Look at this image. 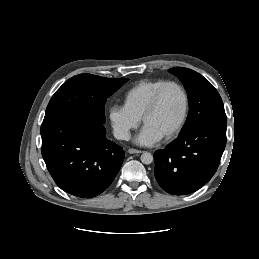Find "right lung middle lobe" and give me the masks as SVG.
Returning <instances> with one entry per match:
<instances>
[{
	"mask_svg": "<svg viewBox=\"0 0 259 259\" xmlns=\"http://www.w3.org/2000/svg\"><path fill=\"white\" fill-rule=\"evenodd\" d=\"M127 81V78H104L85 73L73 76L52 96L43 122L78 113L104 123L107 98Z\"/></svg>",
	"mask_w": 259,
	"mask_h": 259,
	"instance_id": "1",
	"label": "right lung middle lobe"
}]
</instances>
